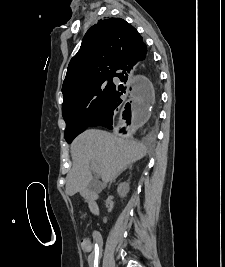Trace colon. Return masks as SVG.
Here are the masks:
<instances>
[{
  "label": "colon",
  "mask_w": 225,
  "mask_h": 267,
  "mask_svg": "<svg viewBox=\"0 0 225 267\" xmlns=\"http://www.w3.org/2000/svg\"><path fill=\"white\" fill-rule=\"evenodd\" d=\"M81 247L84 251H91L93 249V243L89 238H83L81 240Z\"/></svg>",
  "instance_id": "1"
}]
</instances>
